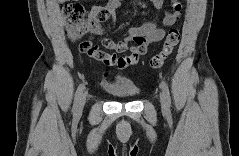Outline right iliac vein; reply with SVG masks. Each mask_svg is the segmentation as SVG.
Masks as SVG:
<instances>
[{"label": "right iliac vein", "instance_id": "63e3f726", "mask_svg": "<svg viewBox=\"0 0 239 156\" xmlns=\"http://www.w3.org/2000/svg\"><path fill=\"white\" fill-rule=\"evenodd\" d=\"M85 103H86V95L83 94V96L81 97L80 103H79V107H78V112L77 113H80L83 110Z\"/></svg>", "mask_w": 239, "mask_h": 156}]
</instances>
